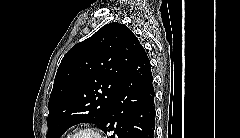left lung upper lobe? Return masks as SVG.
Wrapping results in <instances>:
<instances>
[{"label": "left lung upper lobe", "mask_w": 240, "mask_h": 138, "mask_svg": "<svg viewBox=\"0 0 240 138\" xmlns=\"http://www.w3.org/2000/svg\"><path fill=\"white\" fill-rule=\"evenodd\" d=\"M141 47L134 33L117 22L74 45L55 76L47 138H60L78 123L101 127Z\"/></svg>", "instance_id": "left-lung-upper-lobe-1"}]
</instances>
